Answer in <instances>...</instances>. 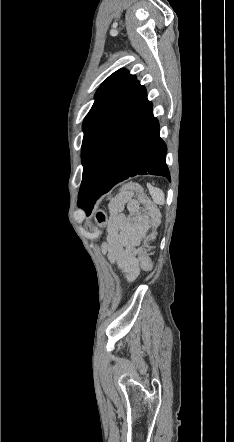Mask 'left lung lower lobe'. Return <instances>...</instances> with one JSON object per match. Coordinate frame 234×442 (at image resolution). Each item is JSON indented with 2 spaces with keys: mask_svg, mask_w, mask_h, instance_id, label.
I'll return each instance as SVG.
<instances>
[{
  "mask_svg": "<svg viewBox=\"0 0 234 442\" xmlns=\"http://www.w3.org/2000/svg\"><path fill=\"white\" fill-rule=\"evenodd\" d=\"M166 153L152 103L144 86L136 81L83 147L79 207L89 213L101 195L137 174L161 175L170 180Z\"/></svg>",
  "mask_w": 234,
  "mask_h": 442,
  "instance_id": "0a47b994",
  "label": "left lung lower lobe"
}]
</instances>
